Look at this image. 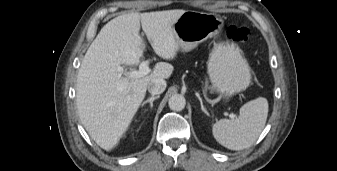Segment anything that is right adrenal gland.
<instances>
[{
    "label": "right adrenal gland",
    "mask_w": 337,
    "mask_h": 171,
    "mask_svg": "<svg viewBox=\"0 0 337 171\" xmlns=\"http://www.w3.org/2000/svg\"><path fill=\"white\" fill-rule=\"evenodd\" d=\"M159 97H160L159 95L158 96H152V97L148 98L146 101H144L141 104V106H144L145 104L150 103V108L152 109L153 108V101L158 99Z\"/></svg>",
    "instance_id": "obj_1"
}]
</instances>
